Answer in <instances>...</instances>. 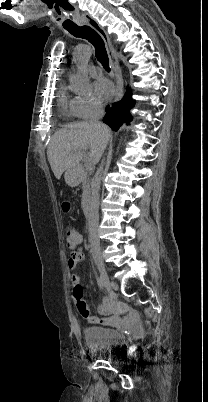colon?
Masks as SVG:
<instances>
[{
  "label": "colon",
  "instance_id": "obj_1",
  "mask_svg": "<svg viewBox=\"0 0 208 402\" xmlns=\"http://www.w3.org/2000/svg\"><path fill=\"white\" fill-rule=\"evenodd\" d=\"M63 211H64V213L69 214V213H71L72 208H71V206L66 205V206H64ZM63 233H64L63 238H64V241L66 242L67 246L70 249L75 248L79 242V237H78L75 227L72 225H68L63 230ZM76 307L81 314H83V315L87 314V303H86L85 299L77 300Z\"/></svg>",
  "mask_w": 208,
  "mask_h": 402
}]
</instances>
